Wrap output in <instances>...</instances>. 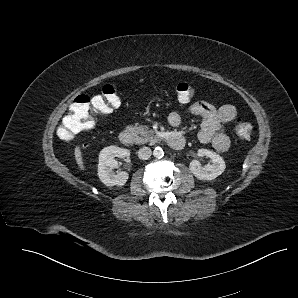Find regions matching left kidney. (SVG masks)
Here are the masks:
<instances>
[{
	"label": "left kidney",
	"mask_w": 298,
	"mask_h": 298,
	"mask_svg": "<svg viewBox=\"0 0 298 298\" xmlns=\"http://www.w3.org/2000/svg\"><path fill=\"white\" fill-rule=\"evenodd\" d=\"M197 155L200 157L206 156L212 161V164L205 166H201L198 160H192L190 162L189 169L199 180H213L224 172L226 168L225 162L217 153L208 149H199Z\"/></svg>",
	"instance_id": "left-kidney-1"
}]
</instances>
